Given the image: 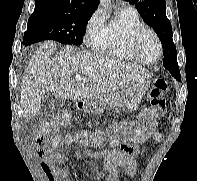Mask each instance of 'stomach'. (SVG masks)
<instances>
[{
    "label": "stomach",
    "mask_w": 197,
    "mask_h": 181,
    "mask_svg": "<svg viewBox=\"0 0 197 181\" xmlns=\"http://www.w3.org/2000/svg\"><path fill=\"white\" fill-rule=\"evenodd\" d=\"M151 81L149 78L142 79L132 85L103 93L79 103L80 107L88 114L96 115L109 108L113 111L133 112L148 91Z\"/></svg>",
    "instance_id": "stomach-1"
}]
</instances>
